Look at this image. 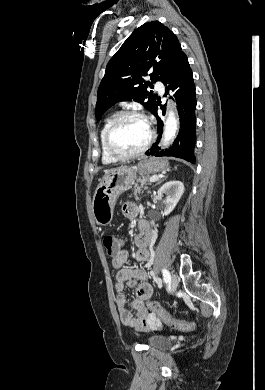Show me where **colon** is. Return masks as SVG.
<instances>
[{
  "instance_id": "obj_1",
  "label": "colon",
  "mask_w": 265,
  "mask_h": 390,
  "mask_svg": "<svg viewBox=\"0 0 265 390\" xmlns=\"http://www.w3.org/2000/svg\"><path fill=\"white\" fill-rule=\"evenodd\" d=\"M103 245L110 256H114L117 252V239L112 235H107L103 239ZM147 307L149 312L155 316L160 324L163 323L174 329L181 331H191L197 327L195 321H182L172 318L167 311L156 301H148Z\"/></svg>"
}]
</instances>
